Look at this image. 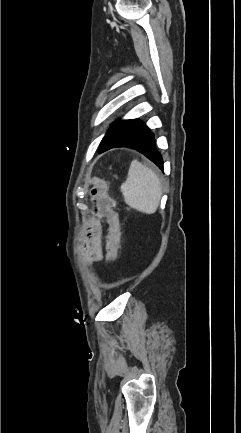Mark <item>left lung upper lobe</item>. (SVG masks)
<instances>
[{
	"label": "left lung upper lobe",
	"instance_id": "5c2ea615",
	"mask_svg": "<svg viewBox=\"0 0 241 433\" xmlns=\"http://www.w3.org/2000/svg\"><path fill=\"white\" fill-rule=\"evenodd\" d=\"M150 129L138 119L116 122L104 136L101 151L122 147L147 134Z\"/></svg>",
	"mask_w": 241,
	"mask_h": 433
}]
</instances>
